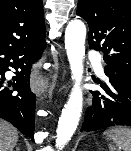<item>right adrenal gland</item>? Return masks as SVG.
Instances as JSON below:
<instances>
[{
	"mask_svg": "<svg viewBox=\"0 0 131 151\" xmlns=\"http://www.w3.org/2000/svg\"><path fill=\"white\" fill-rule=\"evenodd\" d=\"M16 151H20L19 147H16Z\"/></svg>",
	"mask_w": 131,
	"mask_h": 151,
	"instance_id": "1",
	"label": "right adrenal gland"
}]
</instances>
